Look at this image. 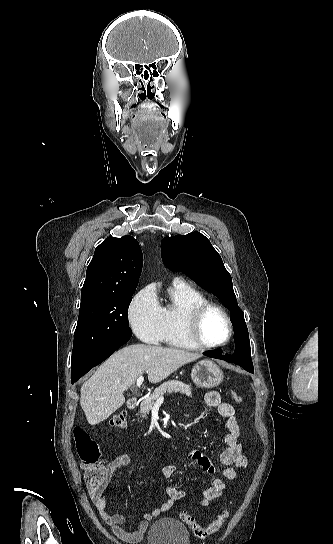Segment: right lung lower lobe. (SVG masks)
Masks as SVG:
<instances>
[{
	"mask_svg": "<svg viewBox=\"0 0 333 544\" xmlns=\"http://www.w3.org/2000/svg\"><path fill=\"white\" fill-rule=\"evenodd\" d=\"M132 334H122L110 341L100 345L92 353L84 357L80 362L71 367V382L72 384L78 381L91 368L100 364L102 361L112 355L119 347L125 344Z\"/></svg>",
	"mask_w": 333,
	"mask_h": 544,
	"instance_id": "right-lung-lower-lobe-1",
	"label": "right lung lower lobe"
}]
</instances>
